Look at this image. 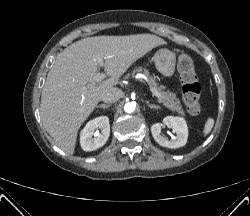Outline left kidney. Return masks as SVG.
Masks as SVG:
<instances>
[{"label": "left kidney", "instance_id": "5707ae66", "mask_svg": "<svg viewBox=\"0 0 250 216\" xmlns=\"http://www.w3.org/2000/svg\"><path fill=\"white\" fill-rule=\"evenodd\" d=\"M164 125L171 128L176 134L174 139L167 140L161 135V129ZM151 133L155 141L163 147L179 148L187 143L188 128L185 119L182 117H165L162 123H155L151 126Z\"/></svg>", "mask_w": 250, "mask_h": 216}]
</instances>
